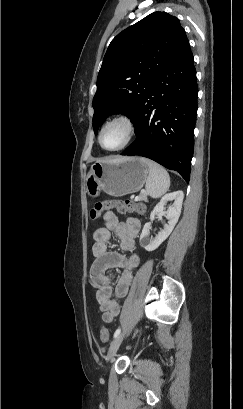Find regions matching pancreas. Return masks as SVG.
Listing matches in <instances>:
<instances>
[{"mask_svg":"<svg viewBox=\"0 0 243 409\" xmlns=\"http://www.w3.org/2000/svg\"><path fill=\"white\" fill-rule=\"evenodd\" d=\"M139 200H141V201H147V194H146V193L140 194Z\"/></svg>","mask_w":243,"mask_h":409,"instance_id":"cf45deb5","label":"pancreas"}]
</instances>
